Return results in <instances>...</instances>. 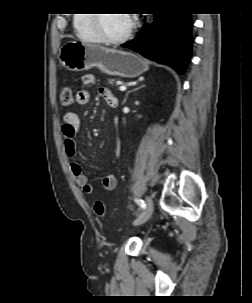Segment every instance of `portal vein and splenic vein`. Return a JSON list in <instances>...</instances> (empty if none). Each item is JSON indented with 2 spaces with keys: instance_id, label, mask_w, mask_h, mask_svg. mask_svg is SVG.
Masks as SVG:
<instances>
[{
  "instance_id": "portal-vein-and-splenic-vein-1",
  "label": "portal vein and splenic vein",
  "mask_w": 252,
  "mask_h": 303,
  "mask_svg": "<svg viewBox=\"0 0 252 303\" xmlns=\"http://www.w3.org/2000/svg\"><path fill=\"white\" fill-rule=\"evenodd\" d=\"M126 89H127L126 86H120V87H119V90H120V91H125Z\"/></svg>"
}]
</instances>
